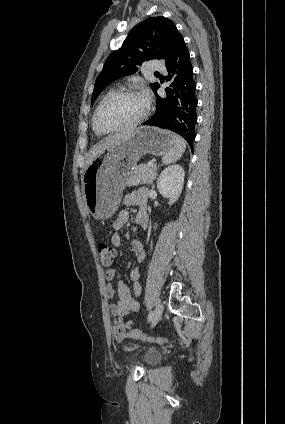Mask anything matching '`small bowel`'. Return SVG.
Returning <instances> with one entry per match:
<instances>
[{
  "instance_id": "small-bowel-1",
  "label": "small bowel",
  "mask_w": 285,
  "mask_h": 424,
  "mask_svg": "<svg viewBox=\"0 0 285 424\" xmlns=\"http://www.w3.org/2000/svg\"><path fill=\"white\" fill-rule=\"evenodd\" d=\"M147 200V189L141 188L136 191H132L124 196L123 202L126 206H137L138 212L135 216V223L142 228H146L148 225V215L145 210ZM130 213L128 210H122L119 212L116 220L113 222L112 227L114 233L111 237L113 246L119 247L122 244V238L120 232L124 229L125 225L129 222ZM130 248L134 253L136 265L132 267L130 271V278L134 282L133 288L131 289L124 281H119L117 285L113 282L117 276V271L111 268L106 271L105 279V294L108 298H116V302L109 305V311L113 317H115L112 334L117 341L131 336L130 330L132 329V322H123L122 318L130 313L139 310V302L137 296L140 294V277H141V266L140 264L145 259V251L143 243L134 239L131 241Z\"/></svg>"
}]
</instances>
